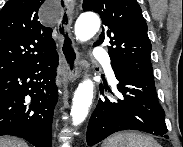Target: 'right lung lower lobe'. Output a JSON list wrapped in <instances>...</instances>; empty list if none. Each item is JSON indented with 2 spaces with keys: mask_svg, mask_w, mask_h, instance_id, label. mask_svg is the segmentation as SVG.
Instances as JSON below:
<instances>
[{
  "mask_svg": "<svg viewBox=\"0 0 183 147\" xmlns=\"http://www.w3.org/2000/svg\"><path fill=\"white\" fill-rule=\"evenodd\" d=\"M57 66L55 53L44 61L0 76V136H18L35 147H51L58 99Z\"/></svg>",
  "mask_w": 183,
  "mask_h": 147,
  "instance_id": "right-lung-lower-lobe-1",
  "label": "right lung lower lobe"
}]
</instances>
